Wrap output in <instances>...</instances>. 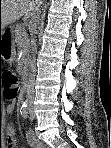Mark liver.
Listing matches in <instances>:
<instances>
[{
	"label": "liver",
	"mask_w": 111,
	"mask_h": 148,
	"mask_svg": "<svg viewBox=\"0 0 111 148\" xmlns=\"http://www.w3.org/2000/svg\"><path fill=\"white\" fill-rule=\"evenodd\" d=\"M42 0H1L0 1V26L3 30L8 24L24 16L31 17L41 5Z\"/></svg>",
	"instance_id": "1"
}]
</instances>
